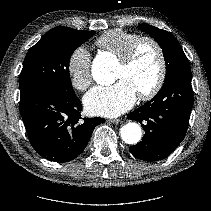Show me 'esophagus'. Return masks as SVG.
<instances>
[{"label": "esophagus", "mask_w": 211, "mask_h": 211, "mask_svg": "<svg viewBox=\"0 0 211 211\" xmlns=\"http://www.w3.org/2000/svg\"><path fill=\"white\" fill-rule=\"evenodd\" d=\"M111 123H113V124H120L121 122H122V120L121 119H111V120H109Z\"/></svg>", "instance_id": "1"}]
</instances>
